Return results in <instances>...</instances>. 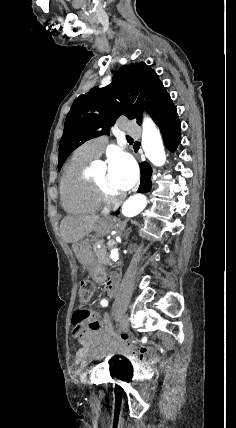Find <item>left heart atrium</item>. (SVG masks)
I'll use <instances>...</instances> for the list:
<instances>
[{
	"mask_svg": "<svg viewBox=\"0 0 236 428\" xmlns=\"http://www.w3.org/2000/svg\"><path fill=\"white\" fill-rule=\"evenodd\" d=\"M108 171L111 182L122 193L129 191L138 178V169L134 159L123 151L110 155Z\"/></svg>",
	"mask_w": 236,
	"mask_h": 428,
	"instance_id": "obj_1",
	"label": "left heart atrium"
}]
</instances>
